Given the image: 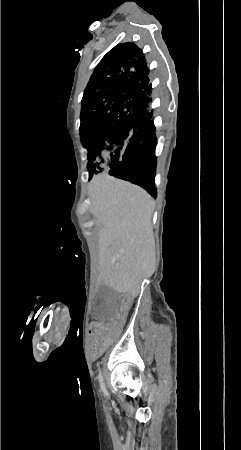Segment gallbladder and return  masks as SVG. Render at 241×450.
I'll return each instance as SVG.
<instances>
[{
    "label": "gallbladder",
    "instance_id": "1",
    "mask_svg": "<svg viewBox=\"0 0 241 450\" xmlns=\"http://www.w3.org/2000/svg\"><path fill=\"white\" fill-rule=\"evenodd\" d=\"M119 293L113 288H103L97 293L92 304V319L94 323H109L115 320L118 313Z\"/></svg>",
    "mask_w": 241,
    "mask_h": 450
}]
</instances>
